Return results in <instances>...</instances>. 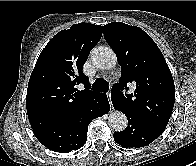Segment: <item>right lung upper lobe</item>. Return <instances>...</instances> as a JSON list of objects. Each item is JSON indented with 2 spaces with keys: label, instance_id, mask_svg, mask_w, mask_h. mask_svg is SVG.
<instances>
[{
  "label": "right lung upper lobe",
  "instance_id": "right-lung-upper-lobe-1",
  "mask_svg": "<svg viewBox=\"0 0 196 166\" xmlns=\"http://www.w3.org/2000/svg\"><path fill=\"white\" fill-rule=\"evenodd\" d=\"M103 27L78 23L57 33L41 52L30 76L26 108L33 130L69 122L102 93L90 90L83 74ZM83 84L84 90L77 85Z\"/></svg>",
  "mask_w": 196,
  "mask_h": 166
}]
</instances>
